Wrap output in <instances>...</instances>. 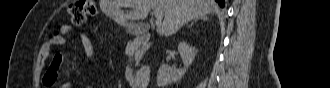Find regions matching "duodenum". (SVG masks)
Listing matches in <instances>:
<instances>
[{"mask_svg":"<svg viewBox=\"0 0 330 88\" xmlns=\"http://www.w3.org/2000/svg\"><path fill=\"white\" fill-rule=\"evenodd\" d=\"M148 40V34L146 31H139L136 35V37L128 44V50L132 51L137 49L139 46H141L143 43H145ZM144 75L147 73V70H143ZM141 73V77L144 76ZM132 83L137 85L140 83V78L132 77Z\"/></svg>","mask_w":330,"mask_h":88,"instance_id":"410a0bca","label":"duodenum"}]
</instances>
